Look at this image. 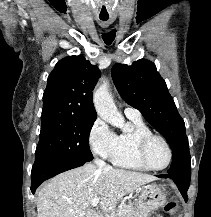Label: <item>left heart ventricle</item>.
<instances>
[{
	"label": "left heart ventricle",
	"instance_id": "1",
	"mask_svg": "<svg viewBox=\"0 0 211 217\" xmlns=\"http://www.w3.org/2000/svg\"><path fill=\"white\" fill-rule=\"evenodd\" d=\"M168 157V150L161 140L155 139L149 144L147 158L152 166L157 168L165 166Z\"/></svg>",
	"mask_w": 211,
	"mask_h": 217
}]
</instances>
